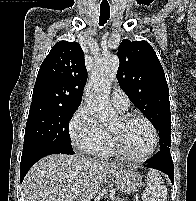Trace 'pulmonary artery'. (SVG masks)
I'll list each match as a JSON object with an SVG mask.
<instances>
[{"label": "pulmonary artery", "instance_id": "e3ab8cb5", "mask_svg": "<svg viewBox=\"0 0 196 201\" xmlns=\"http://www.w3.org/2000/svg\"><path fill=\"white\" fill-rule=\"evenodd\" d=\"M111 103L120 112H125L129 107V99L121 89H114L112 91Z\"/></svg>", "mask_w": 196, "mask_h": 201}]
</instances>
